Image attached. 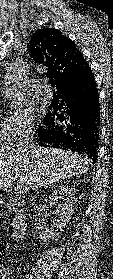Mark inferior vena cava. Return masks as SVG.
I'll return each instance as SVG.
<instances>
[{"label":"inferior vena cava","instance_id":"obj_1","mask_svg":"<svg viewBox=\"0 0 113 279\" xmlns=\"http://www.w3.org/2000/svg\"><path fill=\"white\" fill-rule=\"evenodd\" d=\"M34 134L35 131L33 129H30L29 132L27 134H25L24 138H23V142L20 143L19 146L24 147L25 149H32L35 144H34Z\"/></svg>","mask_w":113,"mask_h":279}]
</instances>
